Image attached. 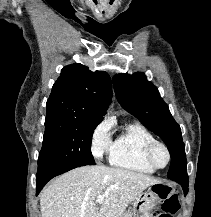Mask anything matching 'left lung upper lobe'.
Segmentation results:
<instances>
[{"label": "left lung upper lobe", "mask_w": 211, "mask_h": 217, "mask_svg": "<svg viewBox=\"0 0 211 217\" xmlns=\"http://www.w3.org/2000/svg\"><path fill=\"white\" fill-rule=\"evenodd\" d=\"M113 80L121 106L165 142L171 156L168 178L188 182L181 129L160 97L158 89L139 72L132 75L117 74Z\"/></svg>", "instance_id": "obj_1"}]
</instances>
